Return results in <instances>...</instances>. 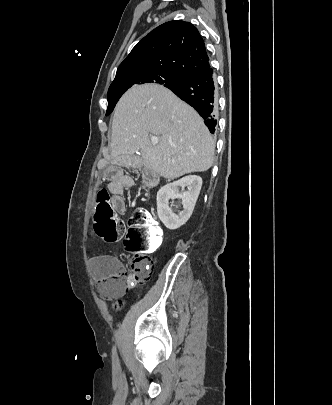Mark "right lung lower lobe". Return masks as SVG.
I'll return each instance as SVG.
<instances>
[{
  "label": "right lung lower lobe",
  "instance_id": "obj_1",
  "mask_svg": "<svg viewBox=\"0 0 332 405\" xmlns=\"http://www.w3.org/2000/svg\"><path fill=\"white\" fill-rule=\"evenodd\" d=\"M217 84L210 65L199 69L169 88L179 98L191 105L205 119L204 123L211 133L216 131Z\"/></svg>",
  "mask_w": 332,
  "mask_h": 405
}]
</instances>
